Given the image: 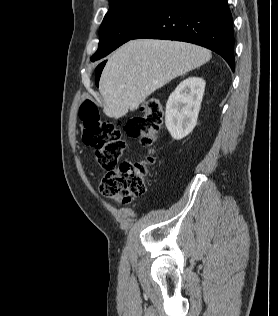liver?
Segmentation results:
<instances>
[{
  "label": "liver",
  "mask_w": 278,
  "mask_h": 316,
  "mask_svg": "<svg viewBox=\"0 0 278 316\" xmlns=\"http://www.w3.org/2000/svg\"><path fill=\"white\" fill-rule=\"evenodd\" d=\"M211 52L185 42L140 39L118 48L102 72L104 113L115 119L135 111L154 91L211 59Z\"/></svg>",
  "instance_id": "liver-1"
}]
</instances>
